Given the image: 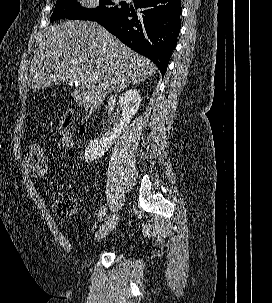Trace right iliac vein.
<instances>
[{"label":"right iliac vein","mask_w":272,"mask_h":303,"mask_svg":"<svg viewBox=\"0 0 272 303\" xmlns=\"http://www.w3.org/2000/svg\"><path fill=\"white\" fill-rule=\"evenodd\" d=\"M119 221V215L116 214L114 221H110L105 228L99 230V232L96 235V240L100 241L102 240L107 234H109L117 225Z\"/></svg>","instance_id":"obj_1"}]
</instances>
